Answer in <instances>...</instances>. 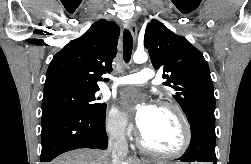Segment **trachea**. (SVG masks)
I'll list each match as a JSON object with an SVG mask.
<instances>
[{"label": "trachea", "instance_id": "trachea-1", "mask_svg": "<svg viewBox=\"0 0 251 164\" xmlns=\"http://www.w3.org/2000/svg\"><path fill=\"white\" fill-rule=\"evenodd\" d=\"M133 48V38L129 30H124L123 33V56L124 61L128 63L131 58Z\"/></svg>", "mask_w": 251, "mask_h": 164}]
</instances>
